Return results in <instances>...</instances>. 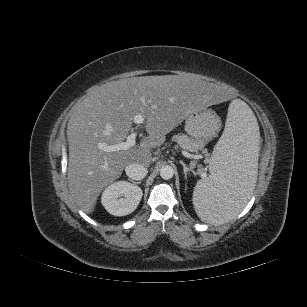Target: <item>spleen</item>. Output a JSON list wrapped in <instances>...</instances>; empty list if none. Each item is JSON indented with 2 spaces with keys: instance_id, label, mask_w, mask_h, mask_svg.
<instances>
[{
  "instance_id": "spleen-1",
  "label": "spleen",
  "mask_w": 307,
  "mask_h": 307,
  "mask_svg": "<svg viewBox=\"0 0 307 307\" xmlns=\"http://www.w3.org/2000/svg\"><path fill=\"white\" fill-rule=\"evenodd\" d=\"M259 150L258 125L252 110L233 100L210 159V175L199 180L193 191V205L202 221L224 224L245 207L257 179Z\"/></svg>"
}]
</instances>
